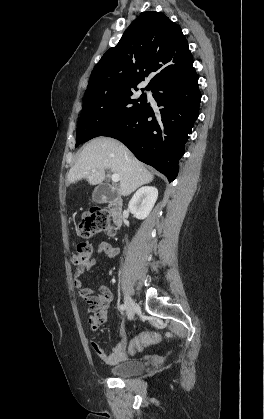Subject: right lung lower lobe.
Instances as JSON below:
<instances>
[{
  "mask_svg": "<svg viewBox=\"0 0 264 419\" xmlns=\"http://www.w3.org/2000/svg\"><path fill=\"white\" fill-rule=\"evenodd\" d=\"M160 107H141L102 136L120 140L142 162L163 173L169 181L178 174V162L199 115L201 94L195 73L184 79L161 82L152 88Z\"/></svg>",
  "mask_w": 264,
  "mask_h": 419,
  "instance_id": "98d812e1",
  "label": "right lung lower lobe"
}]
</instances>
